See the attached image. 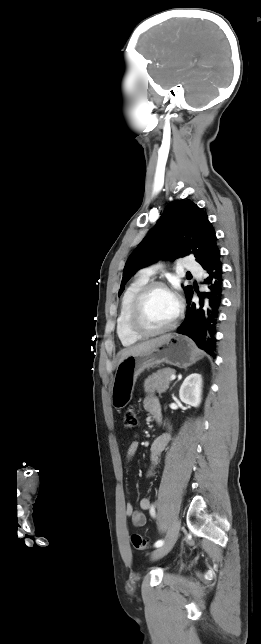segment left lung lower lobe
Instances as JSON below:
<instances>
[{"label":"left lung lower lobe","mask_w":261,"mask_h":644,"mask_svg":"<svg viewBox=\"0 0 261 644\" xmlns=\"http://www.w3.org/2000/svg\"><path fill=\"white\" fill-rule=\"evenodd\" d=\"M207 277L204 284L207 292L198 293L199 303L191 302L193 291L187 298V311L184 322L177 332L190 337L197 346L215 358L216 325L222 302V263L220 251L214 254L204 266Z\"/></svg>","instance_id":"obj_1"}]
</instances>
